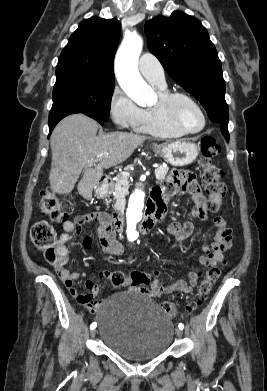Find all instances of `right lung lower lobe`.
Masks as SVG:
<instances>
[{
  "label": "right lung lower lobe",
  "mask_w": 267,
  "mask_h": 391,
  "mask_svg": "<svg viewBox=\"0 0 267 391\" xmlns=\"http://www.w3.org/2000/svg\"><path fill=\"white\" fill-rule=\"evenodd\" d=\"M73 113H79V112H76V111L66 112V113H63V114H61L60 116H58V117H56V118H53V119L49 120V136H50L52 130L54 129V127L56 126V124H57L62 118H64V117L67 116V115L73 114ZM86 115L89 116V117H91V118H93V119H95V120H97L100 124H103V123L105 122L104 120H102L101 118H99V117H97V116H95V115H93V114H86ZM49 136H48V137H49Z\"/></svg>",
  "instance_id": "right-lung-lower-lobe-1"
}]
</instances>
